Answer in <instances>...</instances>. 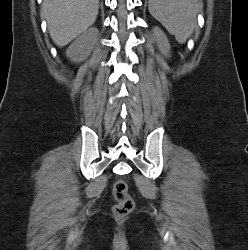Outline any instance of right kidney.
Returning <instances> with one entry per match:
<instances>
[{
  "instance_id": "1",
  "label": "right kidney",
  "mask_w": 248,
  "mask_h": 250,
  "mask_svg": "<svg viewBox=\"0 0 248 250\" xmlns=\"http://www.w3.org/2000/svg\"><path fill=\"white\" fill-rule=\"evenodd\" d=\"M97 35V29L84 32L68 47L66 56L76 63L84 61L92 52Z\"/></svg>"
}]
</instances>
